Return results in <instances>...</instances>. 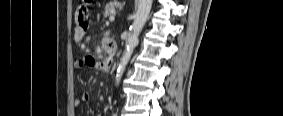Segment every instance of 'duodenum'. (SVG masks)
I'll list each match as a JSON object with an SVG mask.
<instances>
[{"instance_id": "duodenum-1", "label": "duodenum", "mask_w": 283, "mask_h": 116, "mask_svg": "<svg viewBox=\"0 0 283 116\" xmlns=\"http://www.w3.org/2000/svg\"><path fill=\"white\" fill-rule=\"evenodd\" d=\"M103 45L106 48L109 57L112 58L114 56V54L116 53V50H117L114 41L107 39V40L104 41ZM107 70H108V68L105 69V71H107Z\"/></svg>"}]
</instances>
